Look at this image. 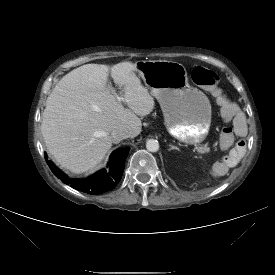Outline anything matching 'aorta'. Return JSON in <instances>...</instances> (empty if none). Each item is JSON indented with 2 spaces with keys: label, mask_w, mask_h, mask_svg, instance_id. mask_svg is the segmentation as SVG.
Wrapping results in <instances>:
<instances>
[{
  "label": "aorta",
  "mask_w": 275,
  "mask_h": 275,
  "mask_svg": "<svg viewBox=\"0 0 275 275\" xmlns=\"http://www.w3.org/2000/svg\"><path fill=\"white\" fill-rule=\"evenodd\" d=\"M146 148L150 152H157L159 150V143L157 140L149 139L146 142Z\"/></svg>",
  "instance_id": "obj_1"
}]
</instances>
